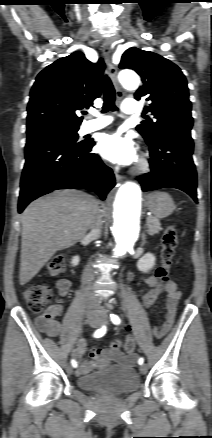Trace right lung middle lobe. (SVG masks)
<instances>
[{
  "label": "right lung middle lobe",
  "mask_w": 212,
  "mask_h": 438,
  "mask_svg": "<svg viewBox=\"0 0 212 438\" xmlns=\"http://www.w3.org/2000/svg\"><path fill=\"white\" fill-rule=\"evenodd\" d=\"M78 129H79L78 127L60 126V125L43 126V127L27 130V139L43 136V135H57L64 139H67L68 141L81 144L84 143V141L77 142Z\"/></svg>",
  "instance_id": "dd1d6c3e"
}]
</instances>
